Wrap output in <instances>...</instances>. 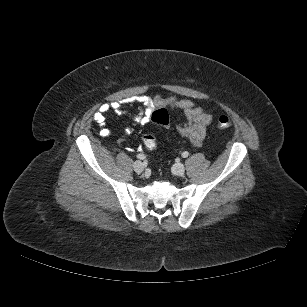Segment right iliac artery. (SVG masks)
Segmentation results:
<instances>
[{
    "label": "right iliac artery",
    "mask_w": 307,
    "mask_h": 307,
    "mask_svg": "<svg viewBox=\"0 0 307 307\" xmlns=\"http://www.w3.org/2000/svg\"><path fill=\"white\" fill-rule=\"evenodd\" d=\"M137 158L140 160H144L146 158V156L144 154H138Z\"/></svg>",
    "instance_id": "obj_1"
}]
</instances>
